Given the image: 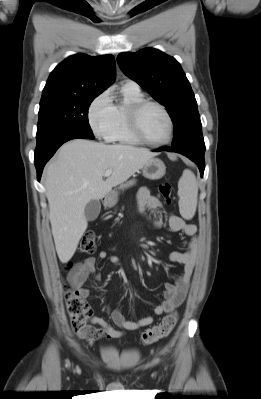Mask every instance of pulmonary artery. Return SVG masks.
Returning <instances> with one entry per match:
<instances>
[{
  "label": "pulmonary artery",
  "mask_w": 261,
  "mask_h": 399,
  "mask_svg": "<svg viewBox=\"0 0 261 399\" xmlns=\"http://www.w3.org/2000/svg\"><path fill=\"white\" fill-rule=\"evenodd\" d=\"M123 89L131 90V91H140L139 85L133 80H126L123 83Z\"/></svg>",
  "instance_id": "1"
}]
</instances>
